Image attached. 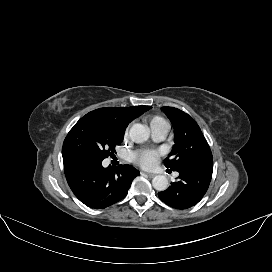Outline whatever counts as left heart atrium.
<instances>
[{"label":"left heart atrium","instance_id":"1","mask_svg":"<svg viewBox=\"0 0 272 272\" xmlns=\"http://www.w3.org/2000/svg\"><path fill=\"white\" fill-rule=\"evenodd\" d=\"M158 157L159 154L155 150H141L133 153L134 161L145 168L152 167L156 163Z\"/></svg>","mask_w":272,"mask_h":272}]
</instances>
